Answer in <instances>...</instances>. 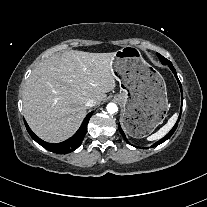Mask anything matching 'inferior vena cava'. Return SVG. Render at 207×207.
<instances>
[{
	"label": "inferior vena cava",
	"mask_w": 207,
	"mask_h": 207,
	"mask_svg": "<svg viewBox=\"0 0 207 207\" xmlns=\"http://www.w3.org/2000/svg\"><path fill=\"white\" fill-rule=\"evenodd\" d=\"M97 104V101L95 99H89L87 102H86V106L87 107H93Z\"/></svg>",
	"instance_id": "602c4592"
}]
</instances>
